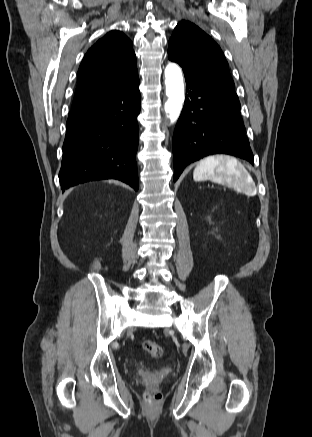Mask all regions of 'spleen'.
Instances as JSON below:
<instances>
[{
  "mask_svg": "<svg viewBox=\"0 0 312 437\" xmlns=\"http://www.w3.org/2000/svg\"><path fill=\"white\" fill-rule=\"evenodd\" d=\"M193 178L195 181L210 179L225 183L249 196L257 192L255 183L244 165L227 155L209 156L201 160L194 169Z\"/></svg>",
  "mask_w": 312,
  "mask_h": 437,
  "instance_id": "spleen-1",
  "label": "spleen"
}]
</instances>
